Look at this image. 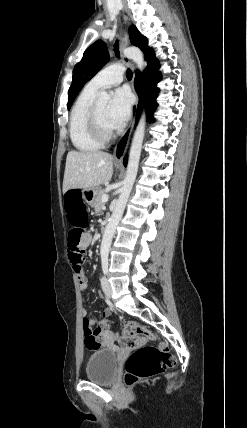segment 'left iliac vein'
Returning a JSON list of instances; mask_svg holds the SVG:
<instances>
[{"label": "left iliac vein", "instance_id": "left-iliac-vein-1", "mask_svg": "<svg viewBox=\"0 0 247 428\" xmlns=\"http://www.w3.org/2000/svg\"><path fill=\"white\" fill-rule=\"evenodd\" d=\"M101 285H102V289H103V292H104L105 296L107 298H111V296H112V287H111V284L109 283V281L107 280L106 277H103L101 279Z\"/></svg>", "mask_w": 247, "mask_h": 428}]
</instances>
